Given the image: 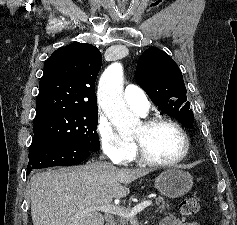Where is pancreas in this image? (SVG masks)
Returning a JSON list of instances; mask_svg holds the SVG:
<instances>
[{"instance_id":"pancreas-1","label":"pancreas","mask_w":237,"mask_h":225,"mask_svg":"<svg viewBox=\"0 0 237 225\" xmlns=\"http://www.w3.org/2000/svg\"><path fill=\"white\" fill-rule=\"evenodd\" d=\"M155 204L158 206V212H165L167 209L170 208L168 201L164 200L163 197L159 196L155 198ZM135 220L134 217L132 218H118V225H131V223Z\"/></svg>"}]
</instances>
